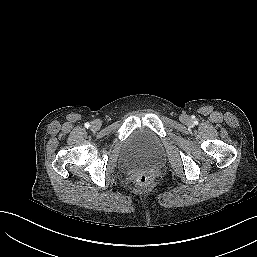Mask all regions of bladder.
I'll return each mask as SVG.
<instances>
[{
    "label": "bladder",
    "mask_w": 257,
    "mask_h": 257,
    "mask_svg": "<svg viewBox=\"0 0 257 257\" xmlns=\"http://www.w3.org/2000/svg\"><path fill=\"white\" fill-rule=\"evenodd\" d=\"M163 158V145L160 138L150 129L139 127L125 140L121 161L128 170L153 168Z\"/></svg>",
    "instance_id": "obj_1"
}]
</instances>
